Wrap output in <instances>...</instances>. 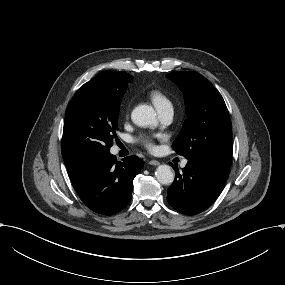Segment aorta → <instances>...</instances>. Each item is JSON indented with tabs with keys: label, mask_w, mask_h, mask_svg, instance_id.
I'll use <instances>...</instances> for the list:
<instances>
[{
	"label": "aorta",
	"mask_w": 285,
	"mask_h": 285,
	"mask_svg": "<svg viewBox=\"0 0 285 285\" xmlns=\"http://www.w3.org/2000/svg\"><path fill=\"white\" fill-rule=\"evenodd\" d=\"M133 123L140 127L156 125V113L149 105H139L131 114ZM155 176L159 183L169 185L174 181V173L169 165L158 166Z\"/></svg>",
	"instance_id": "aorta-1"
}]
</instances>
